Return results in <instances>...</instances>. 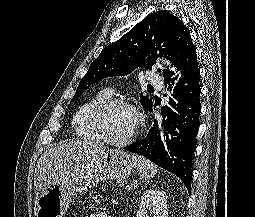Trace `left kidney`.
I'll list each match as a JSON object with an SVG mask.
<instances>
[{
  "mask_svg": "<svg viewBox=\"0 0 255 217\" xmlns=\"http://www.w3.org/2000/svg\"><path fill=\"white\" fill-rule=\"evenodd\" d=\"M167 198L164 191L147 190L141 196L136 217H149V212L153 214V217H168Z\"/></svg>",
  "mask_w": 255,
  "mask_h": 217,
  "instance_id": "left-kidney-1",
  "label": "left kidney"
}]
</instances>
